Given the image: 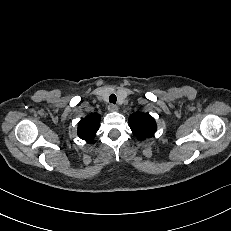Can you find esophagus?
Masks as SVG:
<instances>
[{
	"label": "esophagus",
	"mask_w": 231,
	"mask_h": 231,
	"mask_svg": "<svg viewBox=\"0 0 231 231\" xmlns=\"http://www.w3.org/2000/svg\"><path fill=\"white\" fill-rule=\"evenodd\" d=\"M108 110L110 112H117L118 111V107L116 105H114V104H111V105H109Z\"/></svg>",
	"instance_id": "1"
}]
</instances>
